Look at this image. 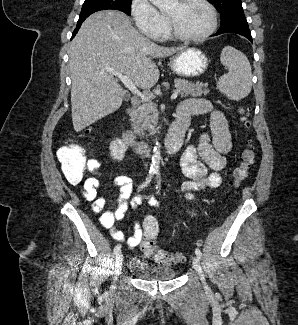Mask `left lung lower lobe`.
<instances>
[{
  "instance_id": "left-lung-lower-lobe-1",
  "label": "left lung lower lobe",
  "mask_w": 298,
  "mask_h": 325,
  "mask_svg": "<svg viewBox=\"0 0 298 325\" xmlns=\"http://www.w3.org/2000/svg\"><path fill=\"white\" fill-rule=\"evenodd\" d=\"M223 33H237L242 36H245L247 39L253 42L245 16L235 18L225 24H222L220 26V29L214 34V36Z\"/></svg>"
}]
</instances>
